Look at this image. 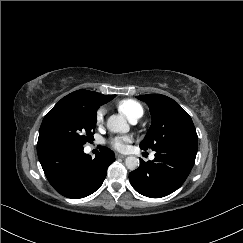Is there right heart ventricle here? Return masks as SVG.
Returning a JSON list of instances; mask_svg holds the SVG:
<instances>
[{
	"mask_svg": "<svg viewBox=\"0 0 243 243\" xmlns=\"http://www.w3.org/2000/svg\"><path fill=\"white\" fill-rule=\"evenodd\" d=\"M118 111L129 121L139 119L143 115V108L139 102L133 99H125L117 104Z\"/></svg>",
	"mask_w": 243,
	"mask_h": 243,
	"instance_id": "e07e8e85",
	"label": "right heart ventricle"
}]
</instances>
